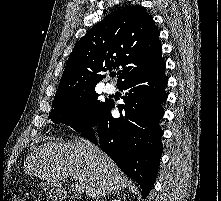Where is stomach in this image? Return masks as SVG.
Segmentation results:
<instances>
[{"label": "stomach", "mask_w": 221, "mask_h": 201, "mask_svg": "<svg viewBox=\"0 0 221 201\" xmlns=\"http://www.w3.org/2000/svg\"><path fill=\"white\" fill-rule=\"evenodd\" d=\"M40 188L45 192V194L49 197H57L58 196V192L56 190H54V187H52L51 185H49L48 183H41L40 184Z\"/></svg>", "instance_id": "obj_1"}]
</instances>
